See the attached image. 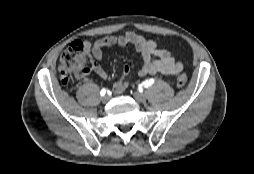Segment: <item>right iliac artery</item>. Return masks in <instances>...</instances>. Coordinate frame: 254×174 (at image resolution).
<instances>
[{
  "instance_id": "1",
  "label": "right iliac artery",
  "mask_w": 254,
  "mask_h": 174,
  "mask_svg": "<svg viewBox=\"0 0 254 174\" xmlns=\"http://www.w3.org/2000/svg\"><path fill=\"white\" fill-rule=\"evenodd\" d=\"M107 90L106 89H102L101 92H100V95L101 96H104L106 94Z\"/></svg>"
}]
</instances>
